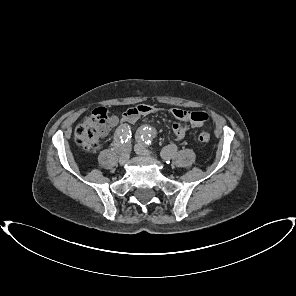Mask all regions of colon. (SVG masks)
Returning <instances> with one entry per match:
<instances>
[{
    "instance_id": "obj_1",
    "label": "colon",
    "mask_w": 296,
    "mask_h": 296,
    "mask_svg": "<svg viewBox=\"0 0 296 296\" xmlns=\"http://www.w3.org/2000/svg\"><path fill=\"white\" fill-rule=\"evenodd\" d=\"M194 120H206V115H195ZM109 116L105 108L95 109L91 116L79 124L74 133V139L86 151L95 150L99 144L101 137L109 130ZM210 140V134L203 131L199 134V141L207 143Z\"/></svg>"
}]
</instances>
